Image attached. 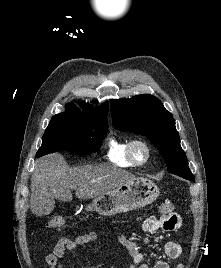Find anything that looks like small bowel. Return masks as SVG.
<instances>
[{
	"instance_id": "obj_1",
	"label": "small bowel",
	"mask_w": 221,
	"mask_h": 268,
	"mask_svg": "<svg viewBox=\"0 0 221 268\" xmlns=\"http://www.w3.org/2000/svg\"><path fill=\"white\" fill-rule=\"evenodd\" d=\"M181 224L180 216L173 213L169 216H161L159 218L154 216L146 218L142 223V229L146 234H153L159 230L175 232L181 227ZM98 239L99 234L95 231L79 235L75 239L62 238L57 242L53 251L46 255L45 263L48 268H64L62 261L68 251L76 250L79 247L96 242ZM118 240L131 255L132 259L128 264V268H170L169 264L163 258H156L152 265H149L145 261L137 234H121ZM144 241L146 242L147 239L145 238ZM161 250L164 256L169 259L178 258L182 254L181 244L174 241L164 242L161 245ZM177 268H183V265L180 264Z\"/></svg>"
}]
</instances>
